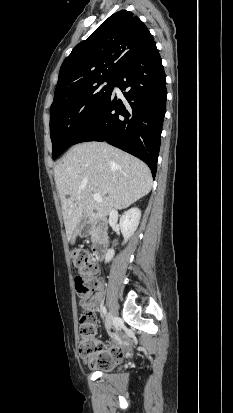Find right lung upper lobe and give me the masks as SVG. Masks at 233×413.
Returning a JSON list of instances; mask_svg holds the SVG:
<instances>
[{
	"label": "right lung upper lobe",
	"mask_w": 233,
	"mask_h": 413,
	"mask_svg": "<svg viewBox=\"0 0 233 413\" xmlns=\"http://www.w3.org/2000/svg\"><path fill=\"white\" fill-rule=\"evenodd\" d=\"M153 43L147 27L132 12L114 13L64 60L53 102L100 80L114 78L123 65Z\"/></svg>",
	"instance_id": "obj_1"
}]
</instances>
